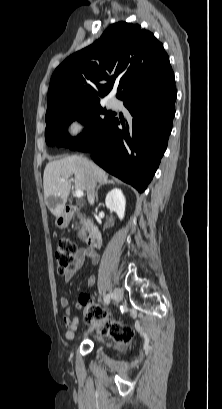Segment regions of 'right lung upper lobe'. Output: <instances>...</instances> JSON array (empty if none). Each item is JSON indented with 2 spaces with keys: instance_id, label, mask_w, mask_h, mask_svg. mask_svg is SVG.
Returning <instances> with one entry per match:
<instances>
[{
  "instance_id": "right-lung-upper-lobe-1",
  "label": "right lung upper lobe",
  "mask_w": 222,
  "mask_h": 409,
  "mask_svg": "<svg viewBox=\"0 0 222 409\" xmlns=\"http://www.w3.org/2000/svg\"><path fill=\"white\" fill-rule=\"evenodd\" d=\"M172 72L169 57L153 33L138 24L118 22L56 68L49 85L47 112L71 104L100 102L98 96H106L116 79L117 98L121 100L158 90L163 86L159 76Z\"/></svg>"
}]
</instances>
